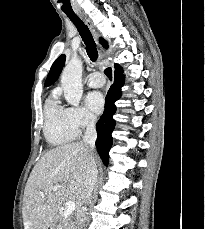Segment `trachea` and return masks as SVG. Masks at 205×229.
I'll list each match as a JSON object with an SVG mask.
<instances>
[{
	"mask_svg": "<svg viewBox=\"0 0 205 229\" xmlns=\"http://www.w3.org/2000/svg\"><path fill=\"white\" fill-rule=\"evenodd\" d=\"M69 19L74 23V25L77 27L87 49L88 56L90 59L95 62L98 58L97 48L94 42V39L92 37V34L90 33L88 27L82 22V20L76 16V15H69L67 14ZM105 75L111 79L112 78V70L111 68H106L104 71Z\"/></svg>",
	"mask_w": 205,
	"mask_h": 229,
	"instance_id": "obj_1",
	"label": "trachea"
}]
</instances>
